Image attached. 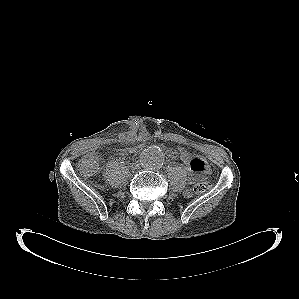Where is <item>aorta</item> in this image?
Here are the masks:
<instances>
[{
  "instance_id": "762f6f07",
  "label": "aorta",
  "mask_w": 299,
  "mask_h": 299,
  "mask_svg": "<svg viewBox=\"0 0 299 299\" xmlns=\"http://www.w3.org/2000/svg\"><path fill=\"white\" fill-rule=\"evenodd\" d=\"M141 164L149 169L158 168L163 165L164 155L158 146H150L143 150L140 156Z\"/></svg>"
}]
</instances>
